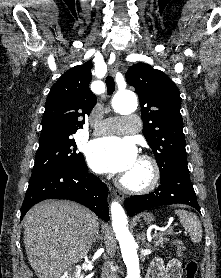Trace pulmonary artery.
Wrapping results in <instances>:
<instances>
[{
    "instance_id": "e3ab8cb5",
    "label": "pulmonary artery",
    "mask_w": 221,
    "mask_h": 278,
    "mask_svg": "<svg viewBox=\"0 0 221 278\" xmlns=\"http://www.w3.org/2000/svg\"><path fill=\"white\" fill-rule=\"evenodd\" d=\"M139 131L137 117L128 115L122 118H109L97 125L94 133L97 135L110 133H136Z\"/></svg>"
}]
</instances>
